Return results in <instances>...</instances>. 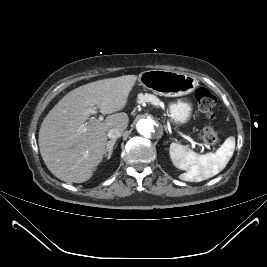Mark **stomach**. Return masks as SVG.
I'll return each instance as SVG.
<instances>
[{
	"label": "stomach",
	"mask_w": 267,
	"mask_h": 267,
	"mask_svg": "<svg viewBox=\"0 0 267 267\" xmlns=\"http://www.w3.org/2000/svg\"><path fill=\"white\" fill-rule=\"evenodd\" d=\"M140 84L154 93L166 97L190 94L198 85L197 79L189 74L167 70H149L140 74ZM192 115L191 103L177 100L169 105V116L176 125L187 123Z\"/></svg>",
	"instance_id": "stomach-1"
}]
</instances>
